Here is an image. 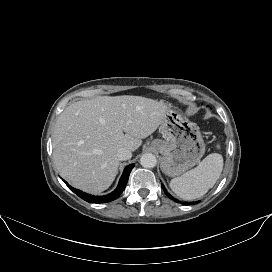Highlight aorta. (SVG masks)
Segmentation results:
<instances>
[{"label": "aorta", "mask_w": 272, "mask_h": 272, "mask_svg": "<svg viewBox=\"0 0 272 272\" xmlns=\"http://www.w3.org/2000/svg\"><path fill=\"white\" fill-rule=\"evenodd\" d=\"M140 164L145 168H153L157 164V159L155 155L147 153L141 156Z\"/></svg>", "instance_id": "aorta-1"}]
</instances>
